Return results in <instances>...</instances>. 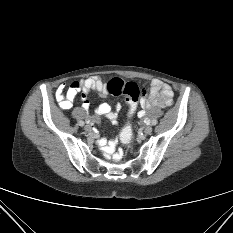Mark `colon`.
<instances>
[{
	"label": "colon",
	"instance_id": "5ec220e1",
	"mask_svg": "<svg viewBox=\"0 0 233 233\" xmlns=\"http://www.w3.org/2000/svg\"><path fill=\"white\" fill-rule=\"evenodd\" d=\"M109 93L115 96L124 95L127 108V121L123 126L120 138L123 143L129 144L133 140V132L130 119L137 110V104L145 91L134 82H126L119 78H114L107 83Z\"/></svg>",
	"mask_w": 233,
	"mask_h": 233
}]
</instances>
